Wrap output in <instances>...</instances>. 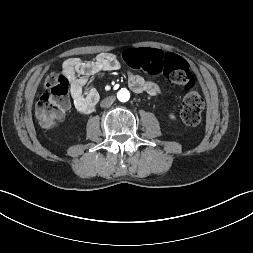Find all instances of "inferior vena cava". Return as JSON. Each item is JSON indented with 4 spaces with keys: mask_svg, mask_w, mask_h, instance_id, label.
I'll return each instance as SVG.
<instances>
[{
    "mask_svg": "<svg viewBox=\"0 0 253 253\" xmlns=\"http://www.w3.org/2000/svg\"><path fill=\"white\" fill-rule=\"evenodd\" d=\"M114 100H115L114 97H107V98H105L104 100L101 101L100 106L103 107V108L104 107H109L113 104Z\"/></svg>",
    "mask_w": 253,
    "mask_h": 253,
    "instance_id": "1",
    "label": "inferior vena cava"
}]
</instances>
